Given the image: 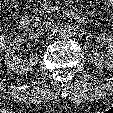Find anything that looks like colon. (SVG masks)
<instances>
[{"label": "colon", "mask_w": 113, "mask_h": 113, "mask_svg": "<svg viewBox=\"0 0 113 113\" xmlns=\"http://www.w3.org/2000/svg\"><path fill=\"white\" fill-rule=\"evenodd\" d=\"M3 43H4V40H3L2 36H0V49L3 46Z\"/></svg>", "instance_id": "5ec220e1"}]
</instances>
